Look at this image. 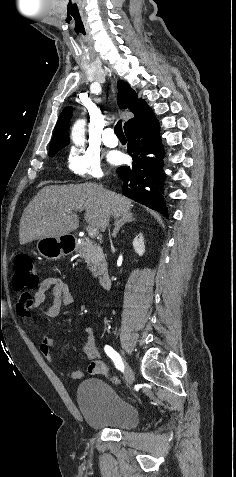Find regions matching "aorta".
<instances>
[{"label": "aorta", "instance_id": "obj_1", "mask_svg": "<svg viewBox=\"0 0 236 477\" xmlns=\"http://www.w3.org/2000/svg\"><path fill=\"white\" fill-rule=\"evenodd\" d=\"M71 138L75 144H82L84 142V138H85V121L84 120H79L74 124L72 128Z\"/></svg>", "mask_w": 236, "mask_h": 477}]
</instances>
